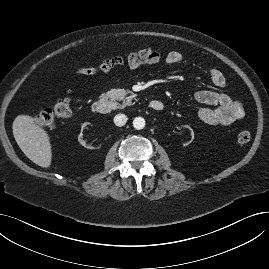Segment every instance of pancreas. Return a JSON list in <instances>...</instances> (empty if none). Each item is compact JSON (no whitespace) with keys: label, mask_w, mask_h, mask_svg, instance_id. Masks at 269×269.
I'll use <instances>...</instances> for the list:
<instances>
[{"label":"pancreas","mask_w":269,"mask_h":269,"mask_svg":"<svg viewBox=\"0 0 269 269\" xmlns=\"http://www.w3.org/2000/svg\"><path fill=\"white\" fill-rule=\"evenodd\" d=\"M130 94L129 96H127ZM106 96L111 99L112 101H123V105H118V108L125 107L127 105H130L132 103V99L136 97V94L127 91L125 89H111L106 93Z\"/></svg>","instance_id":"pancreas-1"}]
</instances>
